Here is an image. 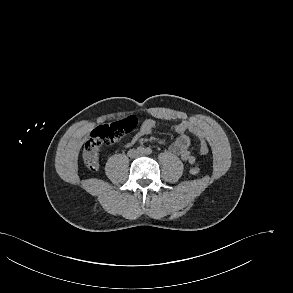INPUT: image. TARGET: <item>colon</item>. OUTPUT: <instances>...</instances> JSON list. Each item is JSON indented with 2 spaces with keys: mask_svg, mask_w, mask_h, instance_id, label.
Returning <instances> with one entry per match:
<instances>
[{
  "mask_svg": "<svg viewBox=\"0 0 293 293\" xmlns=\"http://www.w3.org/2000/svg\"><path fill=\"white\" fill-rule=\"evenodd\" d=\"M136 126L133 117L123 121L102 125L95 128L83 149V161L85 166L92 171L99 167V151L103 146H109L119 141L127 132L132 131ZM192 175H198L200 168L195 165L190 169Z\"/></svg>",
  "mask_w": 293,
  "mask_h": 293,
  "instance_id": "1",
  "label": "colon"
}]
</instances>
